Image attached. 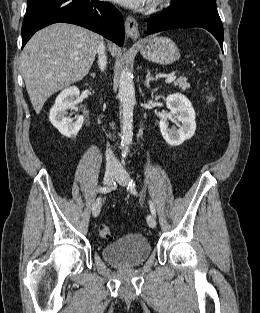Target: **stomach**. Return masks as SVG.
<instances>
[{
	"mask_svg": "<svg viewBox=\"0 0 260 313\" xmlns=\"http://www.w3.org/2000/svg\"><path fill=\"white\" fill-rule=\"evenodd\" d=\"M140 51L147 60L170 65L180 57L177 45L168 37L150 36L139 43Z\"/></svg>",
	"mask_w": 260,
	"mask_h": 313,
	"instance_id": "obj_1",
	"label": "stomach"
}]
</instances>
